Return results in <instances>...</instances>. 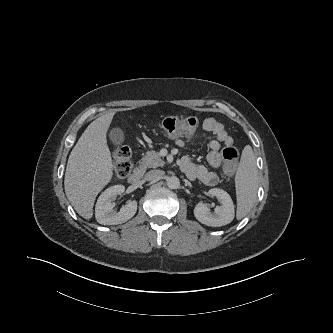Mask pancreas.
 <instances>
[{"label": "pancreas", "instance_id": "obj_1", "mask_svg": "<svg viewBox=\"0 0 333 333\" xmlns=\"http://www.w3.org/2000/svg\"><path fill=\"white\" fill-rule=\"evenodd\" d=\"M164 161L161 158V155L155 151H147L146 154L142 157L141 166L146 168H156L163 166Z\"/></svg>", "mask_w": 333, "mask_h": 333}]
</instances>
